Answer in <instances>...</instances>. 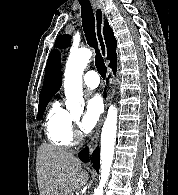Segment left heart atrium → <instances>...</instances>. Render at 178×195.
I'll return each mask as SVG.
<instances>
[{"instance_id": "left-heart-atrium-1", "label": "left heart atrium", "mask_w": 178, "mask_h": 195, "mask_svg": "<svg viewBox=\"0 0 178 195\" xmlns=\"http://www.w3.org/2000/svg\"><path fill=\"white\" fill-rule=\"evenodd\" d=\"M103 112V104L99 96L90 97L86 104V110L81 120V128L84 132H90L97 125Z\"/></svg>"}]
</instances>
